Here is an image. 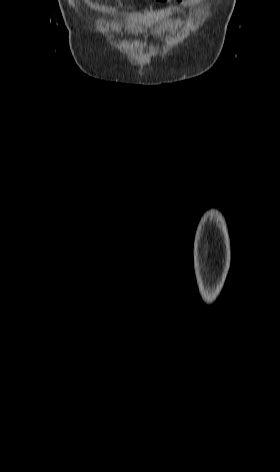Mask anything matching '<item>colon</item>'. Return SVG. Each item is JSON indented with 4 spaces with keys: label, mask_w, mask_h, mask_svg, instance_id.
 <instances>
[{
    "label": "colon",
    "mask_w": 280,
    "mask_h": 472,
    "mask_svg": "<svg viewBox=\"0 0 280 472\" xmlns=\"http://www.w3.org/2000/svg\"><path fill=\"white\" fill-rule=\"evenodd\" d=\"M159 2H167L168 0H157Z\"/></svg>",
    "instance_id": "colon-1"
}]
</instances>
